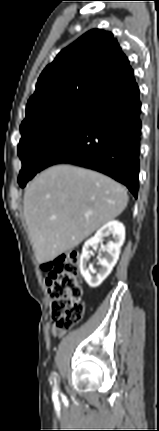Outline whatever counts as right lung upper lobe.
Segmentation results:
<instances>
[{
  "label": "right lung upper lobe",
  "instance_id": "obj_1",
  "mask_svg": "<svg viewBox=\"0 0 159 431\" xmlns=\"http://www.w3.org/2000/svg\"><path fill=\"white\" fill-rule=\"evenodd\" d=\"M137 87L129 61L113 34L90 30L43 70L20 127L58 112L90 115Z\"/></svg>",
  "mask_w": 159,
  "mask_h": 431
}]
</instances>
